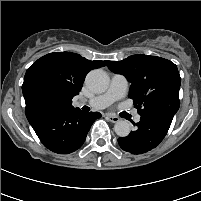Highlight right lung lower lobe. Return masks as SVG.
<instances>
[{"label": "right lung lower lobe", "instance_id": "obj_1", "mask_svg": "<svg viewBox=\"0 0 201 201\" xmlns=\"http://www.w3.org/2000/svg\"><path fill=\"white\" fill-rule=\"evenodd\" d=\"M26 117L43 145L58 154L79 149L98 112L85 113L78 108L38 105L27 109Z\"/></svg>", "mask_w": 201, "mask_h": 201}]
</instances>
